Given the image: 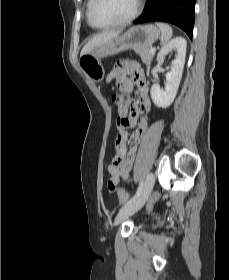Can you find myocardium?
Masks as SVG:
<instances>
[{
    "label": "myocardium",
    "mask_w": 229,
    "mask_h": 280,
    "mask_svg": "<svg viewBox=\"0 0 229 280\" xmlns=\"http://www.w3.org/2000/svg\"><path fill=\"white\" fill-rule=\"evenodd\" d=\"M98 2H99V0H93L92 5L89 10V23L93 28H96V29H107V28L127 25V24L131 23L132 21H134L139 16V14L141 13V11L143 9V0H137L135 10L127 18L116 21V22L108 23V24H97L94 21V10H95Z\"/></svg>",
    "instance_id": "1"
}]
</instances>
